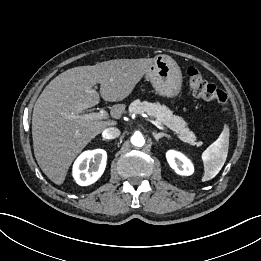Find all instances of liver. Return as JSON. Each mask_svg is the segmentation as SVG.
<instances>
[{"instance_id": "liver-1", "label": "liver", "mask_w": 261, "mask_h": 261, "mask_svg": "<svg viewBox=\"0 0 261 261\" xmlns=\"http://www.w3.org/2000/svg\"><path fill=\"white\" fill-rule=\"evenodd\" d=\"M154 58L114 59L95 65L79 66L55 77L37 99L32 115L34 155L45 175L61 185L76 156L114 120H81L84 110L97 105L100 95L108 102L127 98L148 72ZM100 84V95L93 89ZM124 104L111 107L110 115L119 119Z\"/></svg>"}]
</instances>
